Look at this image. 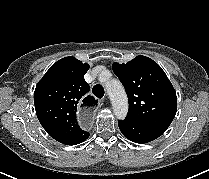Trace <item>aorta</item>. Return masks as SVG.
<instances>
[{
    "mask_svg": "<svg viewBox=\"0 0 209 179\" xmlns=\"http://www.w3.org/2000/svg\"><path fill=\"white\" fill-rule=\"evenodd\" d=\"M117 119L124 120L128 113V98L120 81L112 79L105 83Z\"/></svg>",
    "mask_w": 209,
    "mask_h": 179,
    "instance_id": "obj_1",
    "label": "aorta"
}]
</instances>
